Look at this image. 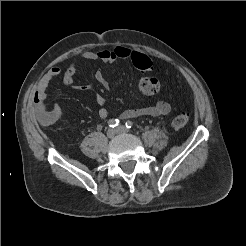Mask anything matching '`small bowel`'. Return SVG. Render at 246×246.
<instances>
[{
  "label": "small bowel",
  "mask_w": 246,
  "mask_h": 246,
  "mask_svg": "<svg viewBox=\"0 0 246 246\" xmlns=\"http://www.w3.org/2000/svg\"><path fill=\"white\" fill-rule=\"evenodd\" d=\"M132 51L124 46L116 47L112 50H101L99 52L85 51L81 53L80 57L83 60L89 61H101L103 63H112L119 59H131ZM76 64L70 65L63 73L62 81L66 86L89 90L88 86H79L75 84ZM62 73L59 67H52L39 81L37 89L34 94L35 109L39 121L43 125H50L60 120L64 114L63 110L55 105L52 108L46 106L47 89L53 79L60 76ZM95 79L106 89L109 88V82L101 71L95 73ZM95 99L100 106L98 115L101 119H105L108 116V110L105 108V98L95 93ZM171 111V106L166 101H158L153 105L132 108L125 110L121 117L123 119L136 118L140 116H165Z\"/></svg>",
  "instance_id": "c3829d8e"
}]
</instances>
